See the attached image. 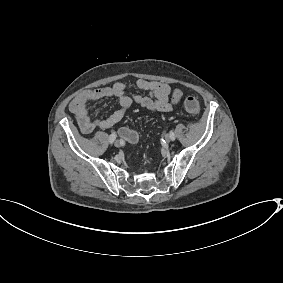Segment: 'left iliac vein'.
Masks as SVG:
<instances>
[{"mask_svg": "<svg viewBox=\"0 0 283 283\" xmlns=\"http://www.w3.org/2000/svg\"><path fill=\"white\" fill-rule=\"evenodd\" d=\"M164 141H165L166 143H170L171 138H170V135H169V134H166V135L164 136Z\"/></svg>", "mask_w": 283, "mask_h": 283, "instance_id": "4c4485c4", "label": "left iliac vein"}]
</instances>
